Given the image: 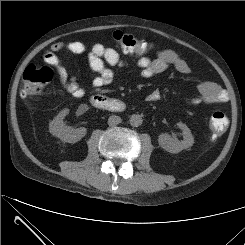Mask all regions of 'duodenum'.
Listing matches in <instances>:
<instances>
[{"label": "duodenum", "instance_id": "duodenum-1", "mask_svg": "<svg viewBox=\"0 0 245 245\" xmlns=\"http://www.w3.org/2000/svg\"><path fill=\"white\" fill-rule=\"evenodd\" d=\"M90 102L93 106L109 111L121 112L125 110L126 106L123 102L115 99L108 98L100 94L91 96Z\"/></svg>", "mask_w": 245, "mask_h": 245}]
</instances>
